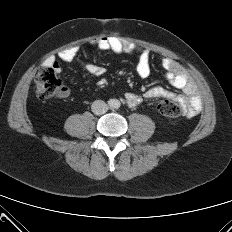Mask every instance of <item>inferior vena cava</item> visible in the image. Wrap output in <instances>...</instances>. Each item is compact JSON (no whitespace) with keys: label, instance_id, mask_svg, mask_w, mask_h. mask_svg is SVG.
<instances>
[{"label":"inferior vena cava","instance_id":"obj_1","mask_svg":"<svg viewBox=\"0 0 232 232\" xmlns=\"http://www.w3.org/2000/svg\"><path fill=\"white\" fill-rule=\"evenodd\" d=\"M92 112L96 115H102L107 112L108 105L102 100H96L91 106Z\"/></svg>","mask_w":232,"mask_h":232}]
</instances>
